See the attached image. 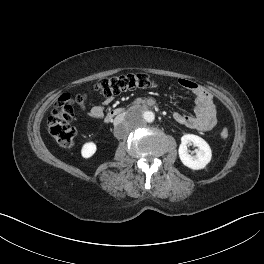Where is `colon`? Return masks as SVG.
Masks as SVG:
<instances>
[{
    "label": "colon",
    "mask_w": 264,
    "mask_h": 264,
    "mask_svg": "<svg viewBox=\"0 0 264 264\" xmlns=\"http://www.w3.org/2000/svg\"><path fill=\"white\" fill-rule=\"evenodd\" d=\"M155 86V80L147 74H124L100 80L94 86L93 92L106 98L128 90L149 89ZM89 103V94H79L73 98L67 93L60 97L48 120L49 133L58 144L67 148L74 144L76 130L72 125V120L75 110L85 109ZM220 135L223 139H227L228 129L222 128Z\"/></svg>",
    "instance_id": "1"
}]
</instances>
